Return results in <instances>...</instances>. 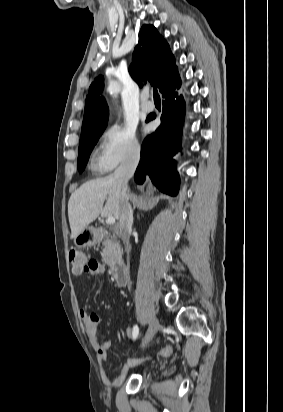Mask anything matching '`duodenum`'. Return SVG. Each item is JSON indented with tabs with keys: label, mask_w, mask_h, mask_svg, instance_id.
Wrapping results in <instances>:
<instances>
[{
	"label": "duodenum",
	"mask_w": 283,
	"mask_h": 412,
	"mask_svg": "<svg viewBox=\"0 0 283 412\" xmlns=\"http://www.w3.org/2000/svg\"><path fill=\"white\" fill-rule=\"evenodd\" d=\"M112 275L116 283L120 286H125L128 282V273L126 267L121 262H116L111 268Z\"/></svg>",
	"instance_id": "duodenum-1"
}]
</instances>
